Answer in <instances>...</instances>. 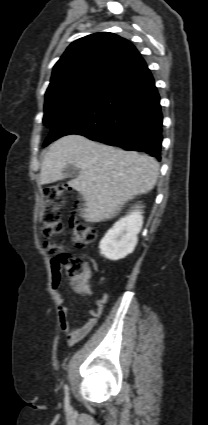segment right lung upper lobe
Here are the masks:
<instances>
[{"label":"right lung upper lobe","instance_id":"1","mask_svg":"<svg viewBox=\"0 0 208 425\" xmlns=\"http://www.w3.org/2000/svg\"><path fill=\"white\" fill-rule=\"evenodd\" d=\"M142 59L128 40L110 33H94L74 41L53 67L45 102L72 92L105 89Z\"/></svg>","mask_w":208,"mask_h":425}]
</instances>
